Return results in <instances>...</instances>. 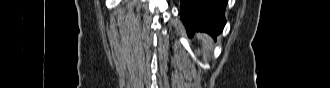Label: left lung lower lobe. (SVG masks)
I'll use <instances>...</instances> for the list:
<instances>
[{
  "instance_id": "1",
  "label": "left lung lower lobe",
  "mask_w": 330,
  "mask_h": 88,
  "mask_svg": "<svg viewBox=\"0 0 330 88\" xmlns=\"http://www.w3.org/2000/svg\"><path fill=\"white\" fill-rule=\"evenodd\" d=\"M228 0H181V19L189 36L206 32L214 39L226 24L225 8Z\"/></svg>"
}]
</instances>
